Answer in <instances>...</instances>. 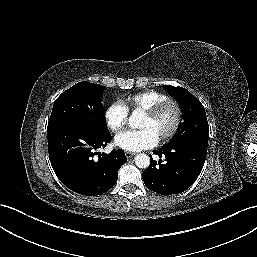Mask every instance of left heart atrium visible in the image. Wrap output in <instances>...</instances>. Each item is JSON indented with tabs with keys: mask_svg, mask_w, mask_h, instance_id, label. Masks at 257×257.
Segmentation results:
<instances>
[{
	"mask_svg": "<svg viewBox=\"0 0 257 257\" xmlns=\"http://www.w3.org/2000/svg\"><path fill=\"white\" fill-rule=\"evenodd\" d=\"M159 138L149 129L128 130L118 134L115 144L127 151H141L155 147Z\"/></svg>",
	"mask_w": 257,
	"mask_h": 257,
	"instance_id": "left-heart-atrium-1",
	"label": "left heart atrium"
}]
</instances>
